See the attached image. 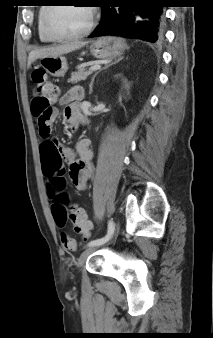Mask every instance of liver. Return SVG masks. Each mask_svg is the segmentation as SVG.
<instances>
[{"label":"liver","mask_w":213,"mask_h":338,"mask_svg":"<svg viewBox=\"0 0 213 338\" xmlns=\"http://www.w3.org/2000/svg\"><path fill=\"white\" fill-rule=\"evenodd\" d=\"M86 44L87 42L85 41H74L64 45L35 49L29 53L27 66L29 68L31 64L39 58L58 57L64 54H68L72 51L78 50Z\"/></svg>","instance_id":"1"}]
</instances>
